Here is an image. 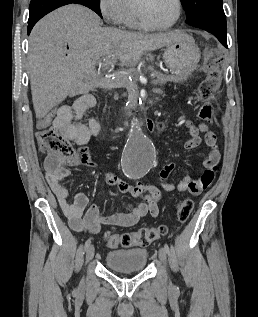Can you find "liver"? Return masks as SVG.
Instances as JSON below:
<instances>
[{"instance_id":"obj_1","label":"liver","mask_w":258,"mask_h":317,"mask_svg":"<svg viewBox=\"0 0 258 317\" xmlns=\"http://www.w3.org/2000/svg\"><path fill=\"white\" fill-rule=\"evenodd\" d=\"M100 24V16L81 4H66L36 22L29 36L28 70L37 118L98 76L95 64L102 56L116 54L120 66H130L144 50L167 46L184 34H145Z\"/></svg>"}]
</instances>
